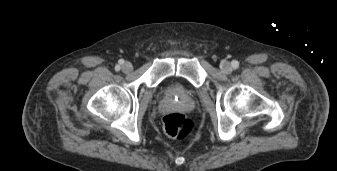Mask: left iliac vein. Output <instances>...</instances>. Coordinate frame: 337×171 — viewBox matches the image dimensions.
<instances>
[{
	"mask_svg": "<svg viewBox=\"0 0 337 171\" xmlns=\"http://www.w3.org/2000/svg\"><path fill=\"white\" fill-rule=\"evenodd\" d=\"M221 71L228 74L232 71V66L228 61H223L220 65Z\"/></svg>",
	"mask_w": 337,
	"mask_h": 171,
	"instance_id": "left-iliac-vein-1",
	"label": "left iliac vein"
}]
</instances>
